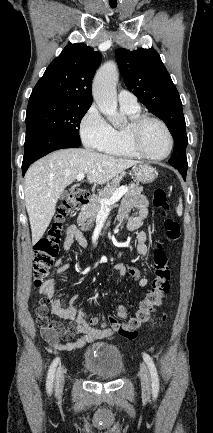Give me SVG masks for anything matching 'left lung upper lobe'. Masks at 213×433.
Returning <instances> with one entry per match:
<instances>
[{
	"mask_svg": "<svg viewBox=\"0 0 213 433\" xmlns=\"http://www.w3.org/2000/svg\"><path fill=\"white\" fill-rule=\"evenodd\" d=\"M126 87L167 125L174 137V150L169 160L175 168L187 170L185 118L179 93L161 58L154 49L115 51Z\"/></svg>",
	"mask_w": 213,
	"mask_h": 433,
	"instance_id": "5c2ea615",
	"label": "left lung upper lobe"
}]
</instances>
